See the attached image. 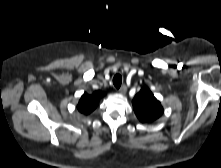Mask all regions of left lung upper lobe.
I'll return each mask as SVG.
<instances>
[{"instance_id":"5c2ea615","label":"left lung upper lobe","mask_w":221,"mask_h":168,"mask_svg":"<svg viewBox=\"0 0 221 168\" xmlns=\"http://www.w3.org/2000/svg\"><path fill=\"white\" fill-rule=\"evenodd\" d=\"M133 108L141 122H153L163 114V107L148 87H143L134 97Z\"/></svg>"}]
</instances>
